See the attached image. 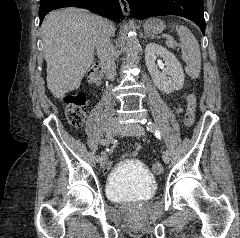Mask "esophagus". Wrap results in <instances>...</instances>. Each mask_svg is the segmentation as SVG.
I'll return each mask as SVG.
<instances>
[{
	"mask_svg": "<svg viewBox=\"0 0 240 238\" xmlns=\"http://www.w3.org/2000/svg\"><path fill=\"white\" fill-rule=\"evenodd\" d=\"M122 12L124 16L130 15V7L127 0H119Z\"/></svg>",
	"mask_w": 240,
	"mask_h": 238,
	"instance_id": "obj_1",
	"label": "esophagus"
}]
</instances>
